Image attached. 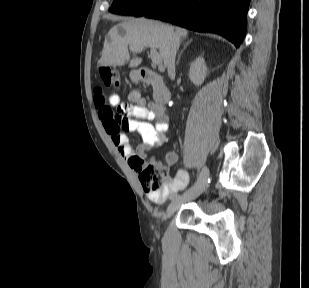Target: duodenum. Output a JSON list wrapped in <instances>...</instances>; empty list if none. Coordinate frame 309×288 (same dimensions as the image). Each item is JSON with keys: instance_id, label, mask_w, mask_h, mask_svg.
<instances>
[{"instance_id": "410a0bca", "label": "duodenum", "mask_w": 309, "mask_h": 288, "mask_svg": "<svg viewBox=\"0 0 309 288\" xmlns=\"http://www.w3.org/2000/svg\"><path fill=\"white\" fill-rule=\"evenodd\" d=\"M139 75L143 82L152 85L156 104L160 107H165L171 95L163 78L149 68H140Z\"/></svg>"}]
</instances>
